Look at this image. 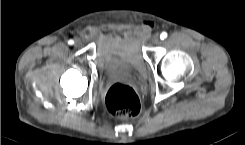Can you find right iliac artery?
I'll return each mask as SVG.
<instances>
[{
    "instance_id": "obj_1",
    "label": "right iliac artery",
    "mask_w": 245,
    "mask_h": 145,
    "mask_svg": "<svg viewBox=\"0 0 245 145\" xmlns=\"http://www.w3.org/2000/svg\"><path fill=\"white\" fill-rule=\"evenodd\" d=\"M68 44H69V45H73V44H74V41H73L72 39H70V40L68 41Z\"/></svg>"
}]
</instances>
